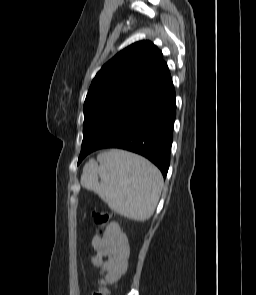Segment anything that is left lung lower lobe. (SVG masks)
<instances>
[{
  "mask_svg": "<svg viewBox=\"0 0 256 295\" xmlns=\"http://www.w3.org/2000/svg\"><path fill=\"white\" fill-rule=\"evenodd\" d=\"M175 115V90L171 81L154 97L122 118L96 144L82 150L78 164L95 150L120 148L148 158L165 178L170 164Z\"/></svg>",
  "mask_w": 256,
  "mask_h": 295,
  "instance_id": "left-lung-lower-lobe-1",
  "label": "left lung lower lobe"
}]
</instances>
